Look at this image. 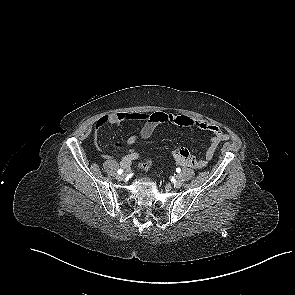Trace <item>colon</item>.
Segmentation results:
<instances>
[{"label": "colon", "instance_id": "colon-1", "mask_svg": "<svg viewBox=\"0 0 295 295\" xmlns=\"http://www.w3.org/2000/svg\"><path fill=\"white\" fill-rule=\"evenodd\" d=\"M179 149V148H178ZM141 168L144 170H148L151 166V162L149 160H145L140 164Z\"/></svg>", "mask_w": 295, "mask_h": 295}]
</instances>
